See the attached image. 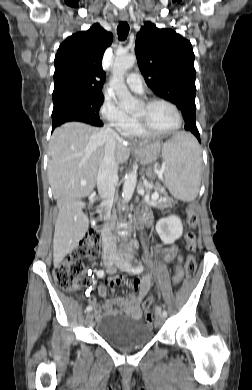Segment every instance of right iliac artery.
<instances>
[{
	"instance_id": "1",
	"label": "right iliac artery",
	"mask_w": 252,
	"mask_h": 390,
	"mask_svg": "<svg viewBox=\"0 0 252 390\" xmlns=\"http://www.w3.org/2000/svg\"><path fill=\"white\" fill-rule=\"evenodd\" d=\"M104 271L103 270H98L97 271V276L99 277V278H102L103 276H104ZM86 311L87 312H90V311H92V307L89 305V306H87V308H86Z\"/></svg>"
}]
</instances>
